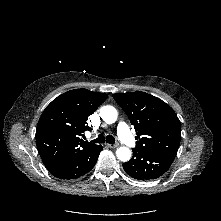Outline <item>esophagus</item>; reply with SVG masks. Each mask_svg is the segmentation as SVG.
<instances>
[{"label": "esophagus", "instance_id": "1", "mask_svg": "<svg viewBox=\"0 0 221 221\" xmlns=\"http://www.w3.org/2000/svg\"><path fill=\"white\" fill-rule=\"evenodd\" d=\"M106 147H108V148H116V147H118V144H106Z\"/></svg>", "mask_w": 221, "mask_h": 221}]
</instances>
